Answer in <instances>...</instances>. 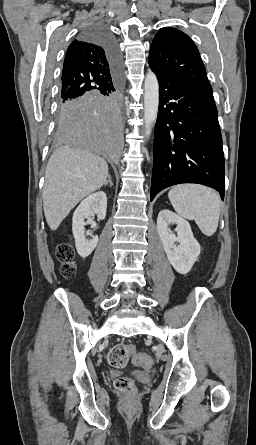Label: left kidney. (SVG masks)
Returning a JSON list of instances; mask_svg holds the SVG:
<instances>
[{"label": "left kidney", "mask_w": 256, "mask_h": 445, "mask_svg": "<svg viewBox=\"0 0 256 445\" xmlns=\"http://www.w3.org/2000/svg\"><path fill=\"white\" fill-rule=\"evenodd\" d=\"M170 224L177 225V236L169 229ZM157 231L170 264L178 273L187 274L200 254V244L189 222L170 210H162L157 218Z\"/></svg>", "instance_id": "1"}]
</instances>
